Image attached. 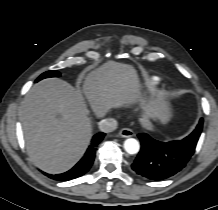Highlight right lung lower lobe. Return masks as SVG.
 Segmentation results:
<instances>
[{"label":"right lung lower lobe","instance_id":"obj_1","mask_svg":"<svg viewBox=\"0 0 218 210\" xmlns=\"http://www.w3.org/2000/svg\"><path fill=\"white\" fill-rule=\"evenodd\" d=\"M104 136L105 133H98L94 135L91 145L87 149L83 158L69 171L56 175L45 173V175L59 181H67L84 175L91 168L95 158L96 147L102 141Z\"/></svg>","mask_w":218,"mask_h":210}]
</instances>
